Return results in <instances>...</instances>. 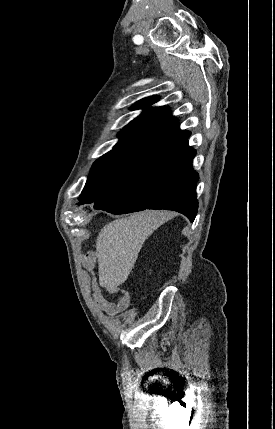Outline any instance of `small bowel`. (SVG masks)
Returning a JSON list of instances; mask_svg holds the SVG:
<instances>
[{
    "label": "small bowel",
    "instance_id": "obj_1",
    "mask_svg": "<svg viewBox=\"0 0 275 429\" xmlns=\"http://www.w3.org/2000/svg\"><path fill=\"white\" fill-rule=\"evenodd\" d=\"M94 304L109 315L124 311L130 304V295L127 291L118 287H107L109 292L117 293L118 298L115 301L105 298L99 286H89Z\"/></svg>",
    "mask_w": 275,
    "mask_h": 429
}]
</instances>
